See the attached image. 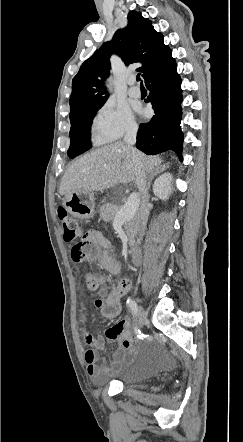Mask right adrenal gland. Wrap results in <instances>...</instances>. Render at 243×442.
<instances>
[{"label":"right adrenal gland","instance_id":"1","mask_svg":"<svg viewBox=\"0 0 243 442\" xmlns=\"http://www.w3.org/2000/svg\"><path fill=\"white\" fill-rule=\"evenodd\" d=\"M168 167H169V164L164 165L162 168H159V169L153 170V171H151V172L149 173L148 183H147V190L150 189L151 182H152V180L154 179V177H155L156 175H158L160 172L164 171V170H165L166 168H168Z\"/></svg>","mask_w":243,"mask_h":442}]
</instances>
